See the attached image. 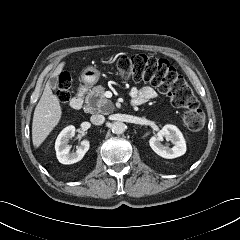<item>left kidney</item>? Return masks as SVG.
Instances as JSON below:
<instances>
[{"mask_svg":"<svg viewBox=\"0 0 240 240\" xmlns=\"http://www.w3.org/2000/svg\"><path fill=\"white\" fill-rule=\"evenodd\" d=\"M164 137L174 142L172 148L161 144ZM149 144L156 154L166 159L182 156L186 152L185 139L179 129L174 125H165L155 136L150 138Z\"/></svg>","mask_w":240,"mask_h":240,"instance_id":"obj_1","label":"left kidney"}]
</instances>
